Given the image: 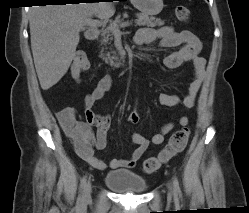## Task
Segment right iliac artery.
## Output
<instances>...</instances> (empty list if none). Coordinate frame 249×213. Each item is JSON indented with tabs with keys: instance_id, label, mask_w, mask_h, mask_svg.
Returning a JSON list of instances; mask_svg holds the SVG:
<instances>
[{
	"instance_id": "obj_1",
	"label": "right iliac artery",
	"mask_w": 249,
	"mask_h": 213,
	"mask_svg": "<svg viewBox=\"0 0 249 213\" xmlns=\"http://www.w3.org/2000/svg\"><path fill=\"white\" fill-rule=\"evenodd\" d=\"M86 180H87V176L85 175L82 179H81V182H80V195H79V200H82L83 199V195H82V192H83V188L86 184Z\"/></svg>"
}]
</instances>
